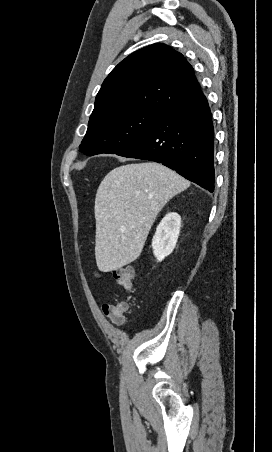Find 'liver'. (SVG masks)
<instances>
[{
  "label": "liver",
  "mask_w": 272,
  "mask_h": 452,
  "mask_svg": "<svg viewBox=\"0 0 272 452\" xmlns=\"http://www.w3.org/2000/svg\"><path fill=\"white\" fill-rule=\"evenodd\" d=\"M190 182L155 163H132L111 170L95 198V258L101 272L135 261L159 212Z\"/></svg>",
  "instance_id": "6515ba94"
}]
</instances>
